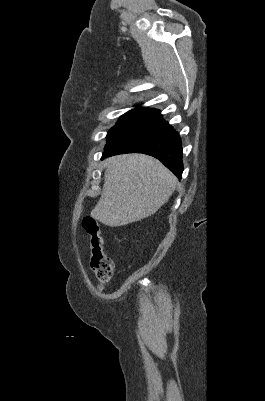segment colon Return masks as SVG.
Masks as SVG:
<instances>
[{
  "label": "colon",
  "mask_w": 265,
  "mask_h": 401,
  "mask_svg": "<svg viewBox=\"0 0 265 401\" xmlns=\"http://www.w3.org/2000/svg\"><path fill=\"white\" fill-rule=\"evenodd\" d=\"M82 226L90 238L91 269L96 275L100 287L105 285L113 275V261L105 253L103 238L98 221L92 217H85Z\"/></svg>",
  "instance_id": "1"
}]
</instances>
